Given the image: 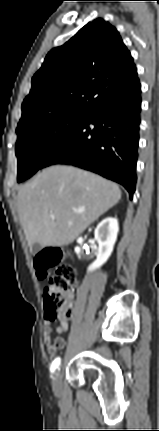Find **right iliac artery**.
<instances>
[{"instance_id":"obj_1","label":"right iliac artery","mask_w":159,"mask_h":431,"mask_svg":"<svg viewBox=\"0 0 159 431\" xmlns=\"http://www.w3.org/2000/svg\"><path fill=\"white\" fill-rule=\"evenodd\" d=\"M61 363V359L60 357H57L51 364V372H54L56 368H58V366Z\"/></svg>"}]
</instances>
